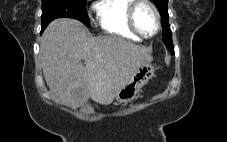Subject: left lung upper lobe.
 I'll return each instance as SVG.
<instances>
[{"mask_svg": "<svg viewBox=\"0 0 227 142\" xmlns=\"http://www.w3.org/2000/svg\"><path fill=\"white\" fill-rule=\"evenodd\" d=\"M153 3L156 5V7L158 8L161 16H162V20H161V24L163 27V42L166 45V47L170 50V52H174V47H173V43H172V32L169 26V15H168V9H167V3L168 0H152Z\"/></svg>", "mask_w": 227, "mask_h": 142, "instance_id": "1", "label": "left lung upper lobe"}]
</instances>
